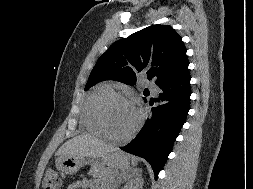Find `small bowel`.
<instances>
[{
	"mask_svg": "<svg viewBox=\"0 0 253 189\" xmlns=\"http://www.w3.org/2000/svg\"><path fill=\"white\" fill-rule=\"evenodd\" d=\"M66 189H95V185L90 180H82L67 186Z\"/></svg>",
	"mask_w": 253,
	"mask_h": 189,
	"instance_id": "small-bowel-1",
	"label": "small bowel"
}]
</instances>
